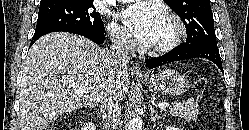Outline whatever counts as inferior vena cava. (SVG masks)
I'll use <instances>...</instances> for the list:
<instances>
[{"label": "inferior vena cava", "mask_w": 249, "mask_h": 130, "mask_svg": "<svg viewBox=\"0 0 249 130\" xmlns=\"http://www.w3.org/2000/svg\"><path fill=\"white\" fill-rule=\"evenodd\" d=\"M111 42L112 45L108 52L110 62L118 70L127 68L130 54L135 47L134 42L129 37L119 32L111 34ZM100 114L106 130H114L120 123V99L115 92H109L102 98L100 101Z\"/></svg>", "instance_id": "602c4592"}]
</instances>
